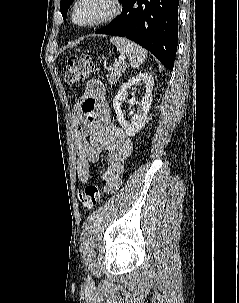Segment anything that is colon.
<instances>
[{
    "label": "colon",
    "instance_id": "5ec220e1",
    "mask_svg": "<svg viewBox=\"0 0 239 303\" xmlns=\"http://www.w3.org/2000/svg\"><path fill=\"white\" fill-rule=\"evenodd\" d=\"M94 70L95 65L89 56L69 58L64 65L65 83L68 85L81 83ZM78 198L84 207L93 208L100 201L101 191L96 184H90L78 192Z\"/></svg>",
    "mask_w": 239,
    "mask_h": 303
}]
</instances>
